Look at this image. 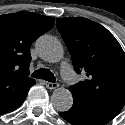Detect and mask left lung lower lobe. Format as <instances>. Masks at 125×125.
<instances>
[{
  "label": "left lung lower lobe",
  "instance_id": "0a47b994",
  "mask_svg": "<svg viewBox=\"0 0 125 125\" xmlns=\"http://www.w3.org/2000/svg\"><path fill=\"white\" fill-rule=\"evenodd\" d=\"M123 105L111 101L82 103L74 101L73 106L60 116L73 125H104L111 121Z\"/></svg>",
  "mask_w": 125,
  "mask_h": 125
}]
</instances>
